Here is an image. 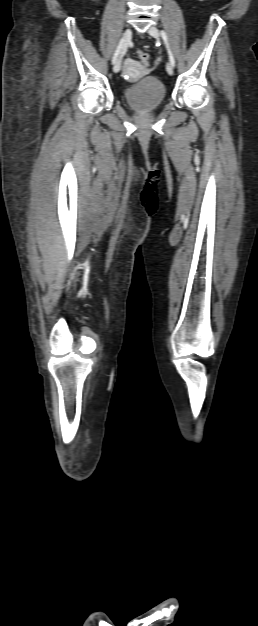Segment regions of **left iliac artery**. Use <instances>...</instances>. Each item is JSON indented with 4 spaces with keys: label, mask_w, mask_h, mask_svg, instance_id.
Listing matches in <instances>:
<instances>
[{
    "label": "left iliac artery",
    "mask_w": 258,
    "mask_h": 626,
    "mask_svg": "<svg viewBox=\"0 0 258 626\" xmlns=\"http://www.w3.org/2000/svg\"><path fill=\"white\" fill-rule=\"evenodd\" d=\"M161 35H162V38L164 40V43H165L167 51H168L170 63L174 67L175 66V58H174L173 53H172V51L170 49V45H169V42H168L167 34L165 33V31L162 30L161 31Z\"/></svg>",
    "instance_id": "obj_1"
}]
</instances>
